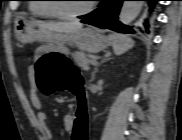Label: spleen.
I'll list each match as a JSON object with an SVG mask.
<instances>
[{
  "label": "spleen",
  "mask_w": 182,
  "mask_h": 140,
  "mask_svg": "<svg viewBox=\"0 0 182 140\" xmlns=\"http://www.w3.org/2000/svg\"><path fill=\"white\" fill-rule=\"evenodd\" d=\"M108 39L116 55H121L134 46V41L125 35L110 34Z\"/></svg>",
  "instance_id": "obj_1"
}]
</instances>
